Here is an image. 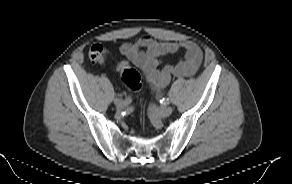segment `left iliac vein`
<instances>
[{"label":"left iliac vein","instance_id":"obj_1","mask_svg":"<svg viewBox=\"0 0 292 184\" xmlns=\"http://www.w3.org/2000/svg\"><path fill=\"white\" fill-rule=\"evenodd\" d=\"M151 111H157L159 113V115L163 118H166L168 117L172 111H173V108L171 106H167V107H163L161 109H157L155 106H151L150 107Z\"/></svg>","mask_w":292,"mask_h":184}]
</instances>
